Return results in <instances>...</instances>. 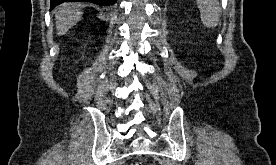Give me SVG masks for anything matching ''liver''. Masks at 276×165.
Instances as JSON below:
<instances>
[{"instance_id": "obj_1", "label": "liver", "mask_w": 276, "mask_h": 165, "mask_svg": "<svg viewBox=\"0 0 276 165\" xmlns=\"http://www.w3.org/2000/svg\"><path fill=\"white\" fill-rule=\"evenodd\" d=\"M54 14L58 35L65 34L82 18V12L74 3H63L59 5L55 9Z\"/></svg>"}]
</instances>
